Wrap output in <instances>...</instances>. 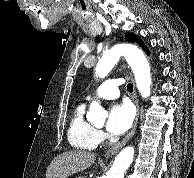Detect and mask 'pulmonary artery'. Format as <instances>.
<instances>
[{
    "mask_svg": "<svg viewBox=\"0 0 194 178\" xmlns=\"http://www.w3.org/2000/svg\"><path fill=\"white\" fill-rule=\"evenodd\" d=\"M123 83L124 80L122 78L108 79L99 85L93 95H88L86 100L90 101L94 97L103 99H115L119 96L118 87Z\"/></svg>",
    "mask_w": 194,
    "mask_h": 178,
    "instance_id": "obj_1",
    "label": "pulmonary artery"
}]
</instances>
